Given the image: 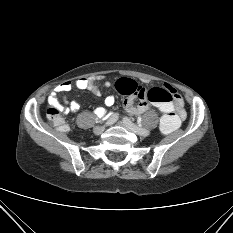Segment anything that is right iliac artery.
Masks as SVG:
<instances>
[{"instance_id":"1","label":"right iliac artery","mask_w":233,"mask_h":233,"mask_svg":"<svg viewBox=\"0 0 233 233\" xmlns=\"http://www.w3.org/2000/svg\"><path fill=\"white\" fill-rule=\"evenodd\" d=\"M117 119H118V114L117 113H113L111 115V117L108 119L107 124H111V123L115 122Z\"/></svg>"}]
</instances>
